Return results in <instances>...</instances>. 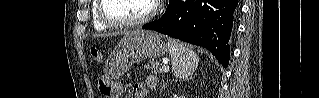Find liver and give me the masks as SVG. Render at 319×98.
Returning a JSON list of instances; mask_svg holds the SVG:
<instances>
[{
	"label": "liver",
	"instance_id": "1",
	"mask_svg": "<svg viewBox=\"0 0 319 98\" xmlns=\"http://www.w3.org/2000/svg\"><path fill=\"white\" fill-rule=\"evenodd\" d=\"M130 32L126 33V34H129ZM104 36H108V35H104Z\"/></svg>",
	"mask_w": 319,
	"mask_h": 98
}]
</instances>
